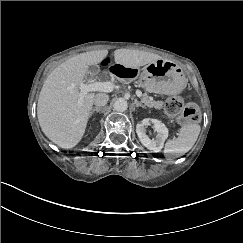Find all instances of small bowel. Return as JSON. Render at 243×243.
<instances>
[{"label":"small bowel","instance_id":"small-bowel-1","mask_svg":"<svg viewBox=\"0 0 243 243\" xmlns=\"http://www.w3.org/2000/svg\"><path fill=\"white\" fill-rule=\"evenodd\" d=\"M117 63H118L117 59L115 58L114 55L111 54H106L101 61V64L103 66H110V67Z\"/></svg>","mask_w":243,"mask_h":243}]
</instances>
